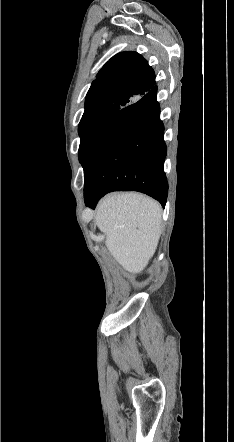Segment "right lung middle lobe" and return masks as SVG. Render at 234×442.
Listing matches in <instances>:
<instances>
[{
  "label": "right lung middle lobe",
  "instance_id": "obj_1",
  "mask_svg": "<svg viewBox=\"0 0 234 442\" xmlns=\"http://www.w3.org/2000/svg\"><path fill=\"white\" fill-rule=\"evenodd\" d=\"M116 115L117 112H106L81 119L78 128L81 138L79 147V161L81 163H83Z\"/></svg>",
  "mask_w": 234,
  "mask_h": 442
}]
</instances>
